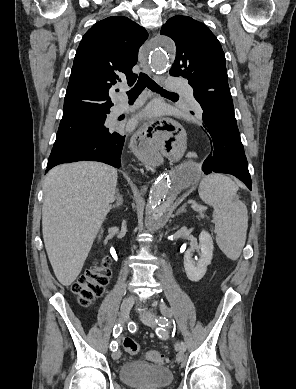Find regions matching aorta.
I'll list each match as a JSON object with an SVG mask.
<instances>
[{
  "label": "aorta",
  "instance_id": "obj_1",
  "mask_svg": "<svg viewBox=\"0 0 296 389\" xmlns=\"http://www.w3.org/2000/svg\"><path fill=\"white\" fill-rule=\"evenodd\" d=\"M174 44L168 38H158L152 43L150 64L154 71L163 72L171 68L174 63ZM200 168L195 163H189L183 167L180 176L173 179L169 175H161L157 178L149 194L146 206L145 224L149 230L159 229L166 215L176 200L179 193L190 187L196 180Z\"/></svg>",
  "mask_w": 296,
  "mask_h": 389
}]
</instances>
